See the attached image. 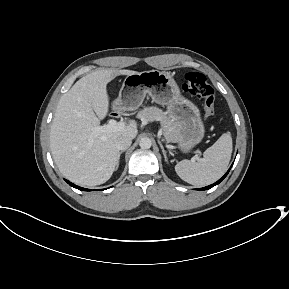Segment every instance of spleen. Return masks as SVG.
I'll return each mask as SVG.
<instances>
[{"instance_id": "3e777b00", "label": "spleen", "mask_w": 289, "mask_h": 289, "mask_svg": "<svg viewBox=\"0 0 289 289\" xmlns=\"http://www.w3.org/2000/svg\"><path fill=\"white\" fill-rule=\"evenodd\" d=\"M232 137L229 132L209 147L197 162L183 160L176 164L175 171L185 182L195 186L209 185L218 180L227 169L232 153Z\"/></svg>"}]
</instances>
